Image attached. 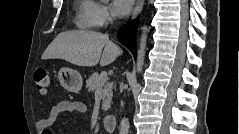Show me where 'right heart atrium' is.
Segmentation results:
<instances>
[{
	"label": "right heart atrium",
	"mask_w": 239,
	"mask_h": 134,
	"mask_svg": "<svg viewBox=\"0 0 239 134\" xmlns=\"http://www.w3.org/2000/svg\"><path fill=\"white\" fill-rule=\"evenodd\" d=\"M92 19L94 26L102 27L111 22L112 12L109 6L95 2L92 4Z\"/></svg>",
	"instance_id": "right-heart-atrium-1"
}]
</instances>
